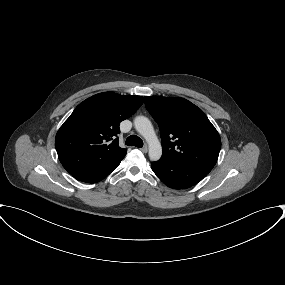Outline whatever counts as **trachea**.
<instances>
[{
	"label": "trachea",
	"instance_id": "trachea-1",
	"mask_svg": "<svg viewBox=\"0 0 285 285\" xmlns=\"http://www.w3.org/2000/svg\"><path fill=\"white\" fill-rule=\"evenodd\" d=\"M126 145L128 146H136L139 148L143 147V141L140 137L136 136V135H131L126 139Z\"/></svg>",
	"mask_w": 285,
	"mask_h": 285
}]
</instances>
